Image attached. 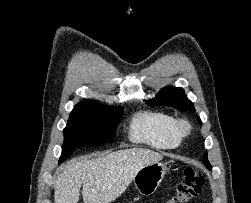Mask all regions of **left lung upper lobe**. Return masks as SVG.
<instances>
[{"label": "left lung upper lobe", "instance_id": "5c2ea615", "mask_svg": "<svg viewBox=\"0 0 251 203\" xmlns=\"http://www.w3.org/2000/svg\"><path fill=\"white\" fill-rule=\"evenodd\" d=\"M149 105H165L177 108L181 111L195 112L193 103L187 98L182 88L166 87L153 99L145 101ZM199 123L201 120L198 119ZM203 163L208 169H212L207 158V152L203 155Z\"/></svg>", "mask_w": 251, "mask_h": 203}]
</instances>
